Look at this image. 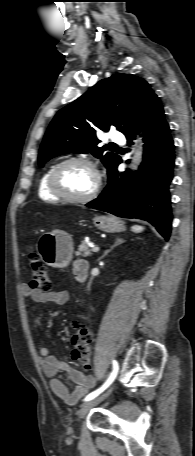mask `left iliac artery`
Segmentation results:
<instances>
[{"label": "left iliac artery", "mask_w": 195, "mask_h": 456, "mask_svg": "<svg viewBox=\"0 0 195 456\" xmlns=\"http://www.w3.org/2000/svg\"><path fill=\"white\" fill-rule=\"evenodd\" d=\"M112 363H113V370H112L110 376L108 377V379L106 380V382L100 388H98L97 390H95V391L91 392L90 394H88L85 397L84 401H89V400H92V399L96 398L100 393H102L114 381V379L117 376V373H118V370H119V366H118V363H117L116 360H113Z\"/></svg>", "instance_id": "obj_1"}]
</instances>
